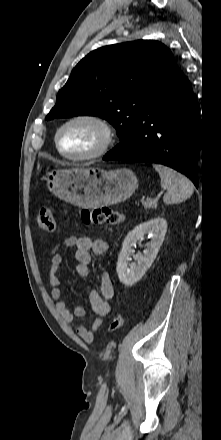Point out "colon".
Masks as SVG:
<instances>
[{"label":"colon","instance_id":"1","mask_svg":"<svg viewBox=\"0 0 221 440\" xmlns=\"http://www.w3.org/2000/svg\"><path fill=\"white\" fill-rule=\"evenodd\" d=\"M80 221L88 226L118 225L122 222V215L115 209L109 207L84 208L79 212ZM37 225L39 229L52 232L55 230V221L52 210L43 207L37 214ZM123 325V318L120 314H115L109 326L110 333H116Z\"/></svg>","mask_w":221,"mask_h":440}]
</instances>
